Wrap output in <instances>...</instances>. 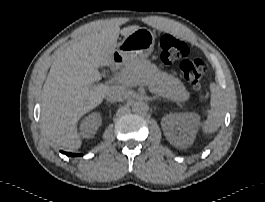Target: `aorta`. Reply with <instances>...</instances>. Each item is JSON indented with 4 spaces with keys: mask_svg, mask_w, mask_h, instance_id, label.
<instances>
[{
    "mask_svg": "<svg viewBox=\"0 0 265 202\" xmlns=\"http://www.w3.org/2000/svg\"><path fill=\"white\" fill-rule=\"evenodd\" d=\"M148 110V106L144 101L137 100L132 104V111L135 113H145Z\"/></svg>",
    "mask_w": 265,
    "mask_h": 202,
    "instance_id": "aorta-1",
    "label": "aorta"
}]
</instances>
